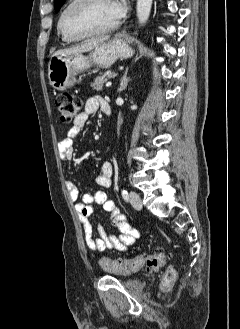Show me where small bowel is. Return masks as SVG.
I'll return each mask as SVG.
<instances>
[{"label": "small bowel", "instance_id": "obj_1", "mask_svg": "<svg viewBox=\"0 0 240 329\" xmlns=\"http://www.w3.org/2000/svg\"><path fill=\"white\" fill-rule=\"evenodd\" d=\"M105 100L95 96L87 100L84 111L75 119L73 125L68 129L66 137L58 144V152L65 162H71L75 158V149L73 140L87 125L88 119L98 109L102 110V104ZM113 165L105 162L101 165L95 182L101 186L108 188L112 184ZM66 188L71 201L74 203L75 210L84 231V240L87 247L92 251H103L105 249L126 251L129 246L133 245L139 237V231L134 228L128 221L125 214L113 201L108 199L104 191L95 193H85L79 201V192L71 183H66ZM94 206H101L103 210L110 214V222L118 233H112L105 229L102 224H98V236H94L93 227L90 223V217L93 213Z\"/></svg>", "mask_w": 240, "mask_h": 329}]
</instances>
